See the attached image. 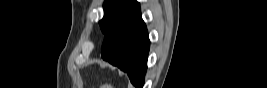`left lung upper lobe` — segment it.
<instances>
[{
    "label": "left lung upper lobe",
    "mask_w": 267,
    "mask_h": 88,
    "mask_svg": "<svg viewBox=\"0 0 267 88\" xmlns=\"http://www.w3.org/2000/svg\"><path fill=\"white\" fill-rule=\"evenodd\" d=\"M139 3L135 0H106L104 2V17L99 22L102 32L106 35L120 19L137 8Z\"/></svg>",
    "instance_id": "obj_1"
}]
</instances>
